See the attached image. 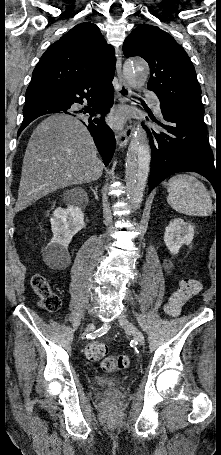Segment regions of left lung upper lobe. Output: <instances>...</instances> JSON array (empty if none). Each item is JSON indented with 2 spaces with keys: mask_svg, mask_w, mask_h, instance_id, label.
Wrapping results in <instances>:
<instances>
[{
  "mask_svg": "<svg viewBox=\"0 0 221 455\" xmlns=\"http://www.w3.org/2000/svg\"><path fill=\"white\" fill-rule=\"evenodd\" d=\"M126 57L140 56L150 67L148 89L155 92L160 107L203 118L201 88L185 50L159 27L142 24L123 44Z\"/></svg>",
  "mask_w": 221,
  "mask_h": 455,
  "instance_id": "obj_1",
  "label": "left lung upper lobe"
}]
</instances>
